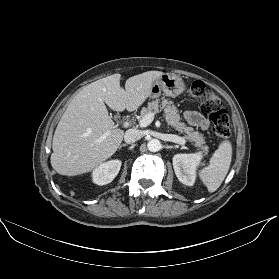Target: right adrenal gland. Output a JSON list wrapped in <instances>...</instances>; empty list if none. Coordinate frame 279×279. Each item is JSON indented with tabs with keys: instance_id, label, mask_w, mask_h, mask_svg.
Here are the masks:
<instances>
[{
	"instance_id": "2a0ac1e0",
	"label": "right adrenal gland",
	"mask_w": 279,
	"mask_h": 279,
	"mask_svg": "<svg viewBox=\"0 0 279 279\" xmlns=\"http://www.w3.org/2000/svg\"><path fill=\"white\" fill-rule=\"evenodd\" d=\"M126 146H127V144H121L119 149H121L122 147H126Z\"/></svg>"
}]
</instances>
